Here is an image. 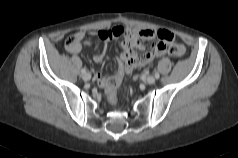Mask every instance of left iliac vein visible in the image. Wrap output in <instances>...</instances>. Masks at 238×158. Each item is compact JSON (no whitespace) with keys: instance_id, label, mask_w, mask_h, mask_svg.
I'll return each mask as SVG.
<instances>
[{"instance_id":"left-iliac-vein-1","label":"left iliac vein","mask_w":238,"mask_h":158,"mask_svg":"<svg viewBox=\"0 0 238 158\" xmlns=\"http://www.w3.org/2000/svg\"><path fill=\"white\" fill-rule=\"evenodd\" d=\"M155 81H156V77H154V76H152V75H150V76L147 77V83H148V84H154Z\"/></svg>"}]
</instances>
